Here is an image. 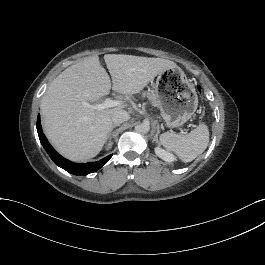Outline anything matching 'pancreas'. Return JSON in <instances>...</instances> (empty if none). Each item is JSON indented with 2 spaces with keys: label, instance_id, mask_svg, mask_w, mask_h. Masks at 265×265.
Returning a JSON list of instances; mask_svg holds the SVG:
<instances>
[{
  "label": "pancreas",
  "instance_id": "cf45deb5",
  "mask_svg": "<svg viewBox=\"0 0 265 265\" xmlns=\"http://www.w3.org/2000/svg\"><path fill=\"white\" fill-rule=\"evenodd\" d=\"M146 96H147V98H148L150 101H152L154 104L156 103V100H155L154 95H152V94H147Z\"/></svg>",
  "mask_w": 265,
  "mask_h": 265
}]
</instances>
